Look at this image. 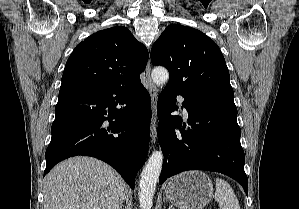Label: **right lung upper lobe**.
I'll use <instances>...</instances> for the list:
<instances>
[{"label": "right lung upper lobe", "instance_id": "cb5924a9", "mask_svg": "<svg viewBox=\"0 0 299 209\" xmlns=\"http://www.w3.org/2000/svg\"><path fill=\"white\" fill-rule=\"evenodd\" d=\"M148 61V50L123 26L98 31L79 43L66 62L60 91L106 85L134 87Z\"/></svg>", "mask_w": 299, "mask_h": 209}]
</instances>
